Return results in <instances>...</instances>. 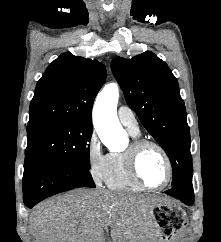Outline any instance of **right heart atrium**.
Masks as SVG:
<instances>
[{
    "label": "right heart atrium",
    "mask_w": 221,
    "mask_h": 242,
    "mask_svg": "<svg viewBox=\"0 0 221 242\" xmlns=\"http://www.w3.org/2000/svg\"><path fill=\"white\" fill-rule=\"evenodd\" d=\"M108 155L103 152L98 136L93 131L86 142V157L89 173L98 185L105 179Z\"/></svg>",
    "instance_id": "1"
}]
</instances>
